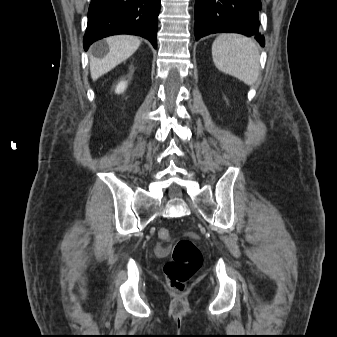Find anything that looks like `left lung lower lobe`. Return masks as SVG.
I'll return each instance as SVG.
<instances>
[{
    "mask_svg": "<svg viewBox=\"0 0 337 337\" xmlns=\"http://www.w3.org/2000/svg\"><path fill=\"white\" fill-rule=\"evenodd\" d=\"M260 0H196L195 37L213 33H240L255 36L264 46V36L259 33Z\"/></svg>",
    "mask_w": 337,
    "mask_h": 337,
    "instance_id": "1",
    "label": "left lung lower lobe"
}]
</instances>
